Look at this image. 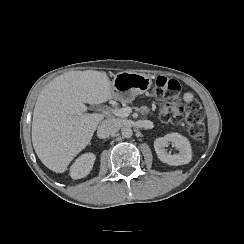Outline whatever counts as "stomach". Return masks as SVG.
<instances>
[{
  "instance_id": "stomach-1",
  "label": "stomach",
  "mask_w": 244,
  "mask_h": 244,
  "mask_svg": "<svg viewBox=\"0 0 244 244\" xmlns=\"http://www.w3.org/2000/svg\"><path fill=\"white\" fill-rule=\"evenodd\" d=\"M153 86V79L145 73L123 70L114 75L112 80L113 97L121 102H131Z\"/></svg>"
}]
</instances>
